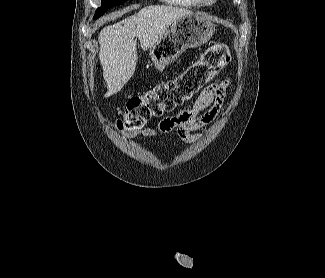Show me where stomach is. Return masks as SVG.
<instances>
[{"label": "stomach", "mask_w": 325, "mask_h": 278, "mask_svg": "<svg viewBox=\"0 0 325 278\" xmlns=\"http://www.w3.org/2000/svg\"><path fill=\"white\" fill-rule=\"evenodd\" d=\"M214 32V24L206 17L199 14L182 17L150 47L151 60L156 68L162 69L176 60L186 49L205 44Z\"/></svg>", "instance_id": "stomach-1"}]
</instances>
